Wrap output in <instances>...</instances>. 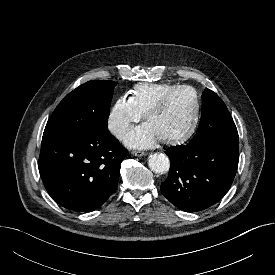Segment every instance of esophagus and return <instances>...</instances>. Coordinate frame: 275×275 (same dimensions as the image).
Returning <instances> with one entry per match:
<instances>
[{
	"mask_svg": "<svg viewBox=\"0 0 275 275\" xmlns=\"http://www.w3.org/2000/svg\"><path fill=\"white\" fill-rule=\"evenodd\" d=\"M132 154H133L134 156L141 157V156H144L146 153L143 152V151H137V150H136V151H133Z\"/></svg>",
	"mask_w": 275,
	"mask_h": 275,
	"instance_id": "34e87169",
	"label": "esophagus"
}]
</instances>
